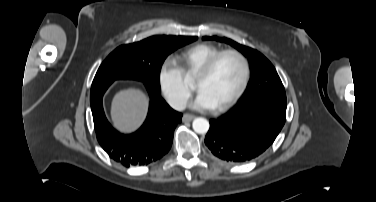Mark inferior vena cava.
<instances>
[{"instance_id": "1", "label": "inferior vena cava", "mask_w": 376, "mask_h": 202, "mask_svg": "<svg viewBox=\"0 0 376 202\" xmlns=\"http://www.w3.org/2000/svg\"><path fill=\"white\" fill-rule=\"evenodd\" d=\"M168 104L175 110L182 111L186 108L187 100L184 97H172L168 99Z\"/></svg>"}]
</instances>
